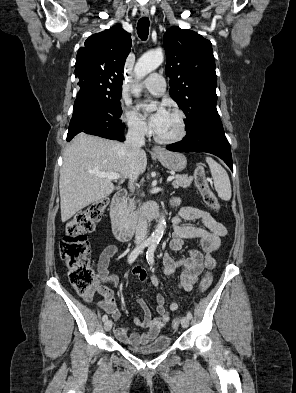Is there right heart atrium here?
Masks as SVG:
<instances>
[{"instance_id": "right-heart-atrium-1", "label": "right heart atrium", "mask_w": 296, "mask_h": 393, "mask_svg": "<svg viewBox=\"0 0 296 393\" xmlns=\"http://www.w3.org/2000/svg\"><path fill=\"white\" fill-rule=\"evenodd\" d=\"M123 117L127 124L129 131L139 137L148 134L149 129L146 122L133 110L125 107L123 109Z\"/></svg>"}]
</instances>
